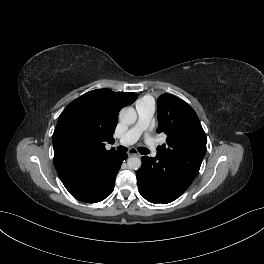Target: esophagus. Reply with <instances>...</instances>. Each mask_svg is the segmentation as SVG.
I'll return each instance as SVG.
<instances>
[{"mask_svg":"<svg viewBox=\"0 0 264 264\" xmlns=\"http://www.w3.org/2000/svg\"><path fill=\"white\" fill-rule=\"evenodd\" d=\"M127 154L128 156H140V154L135 149H129Z\"/></svg>","mask_w":264,"mask_h":264,"instance_id":"obj_1","label":"esophagus"}]
</instances>
